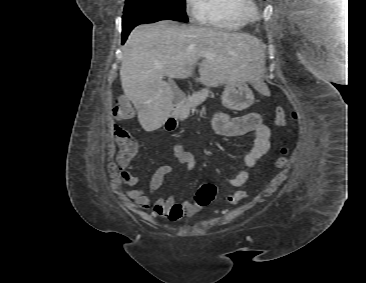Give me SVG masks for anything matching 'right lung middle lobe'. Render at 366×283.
<instances>
[{
  "label": "right lung middle lobe",
  "instance_id": "dd1d6c3e",
  "mask_svg": "<svg viewBox=\"0 0 366 283\" xmlns=\"http://www.w3.org/2000/svg\"><path fill=\"white\" fill-rule=\"evenodd\" d=\"M160 20L188 22L185 0H126L122 28Z\"/></svg>",
  "mask_w": 366,
  "mask_h": 283
}]
</instances>
